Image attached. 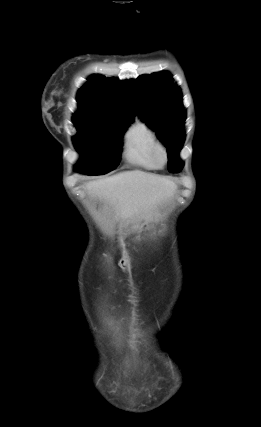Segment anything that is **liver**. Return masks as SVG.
Returning <instances> with one entry per match:
<instances>
[{"mask_svg": "<svg viewBox=\"0 0 261 427\" xmlns=\"http://www.w3.org/2000/svg\"><path fill=\"white\" fill-rule=\"evenodd\" d=\"M87 190L111 203L117 215L129 222L150 218L159 204L174 195L176 185L167 178L132 170L91 181Z\"/></svg>", "mask_w": 261, "mask_h": 427, "instance_id": "6515ba94", "label": "liver"}]
</instances>
